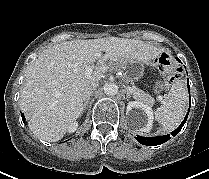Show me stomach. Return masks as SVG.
<instances>
[{"instance_id":"stomach-1","label":"stomach","mask_w":209,"mask_h":179,"mask_svg":"<svg viewBox=\"0 0 209 179\" xmlns=\"http://www.w3.org/2000/svg\"><path fill=\"white\" fill-rule=\"evenodd\" d=\"M123 72L122 80L130 83L139 80L144 74V65L136 60H124L120 63Z\"/></svg>"}]
</instances>
